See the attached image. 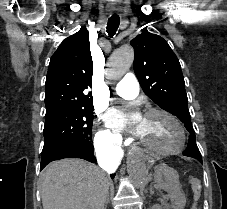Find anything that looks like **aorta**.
Listing matches in <instances>:
<instances>
[{
	"label": "aorta",
	"instance_id": "762f6f07",
	"mask_svg": "<svg viewBox=\"0 0 227 209\" xmlns=\"http://www.w3.org/2000/svg\"><path fill=\"white\" fill-rule=\"evenodd\" d=\"M134 51L130 46H124L115 51L108 60L106 77L116 79L123 76L131 67ZM127 172L137 189H143L147 179V164L143 153L139 149L132 150L127 157Z\"/></svg>",
	"mask_w": 227,
	"mask_h": 209
}]
</instances>
